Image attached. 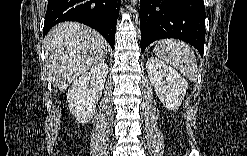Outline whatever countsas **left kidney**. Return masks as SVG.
I'll use <instances>...</instances> for the list:
<instances>
[{
  "instance_id": "left-kidney-1",
  "label": "left kidney",
  "mask_w": 247,
  "mask_h": 156,
  "mask_svg": "<svg viewBox=\"0 0 247 156\" xmlns=\"http://www.w3.org/2000/svg\"><path fill=\"white\" fill-rule=\"evenodd\" d=\"M146 68L160 101L168 110H177L185 96L187 81L175 69L155 57L147 60Z\"/></svg>"
}]
</instances>
